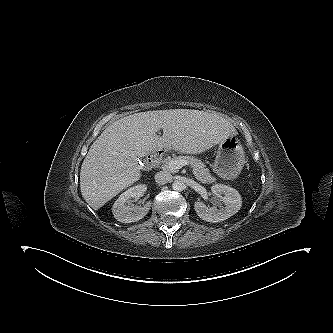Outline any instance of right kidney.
Instances as JSON below:
<instances>
[{"label":"right kidney","mask_w":333,"mask_h":333,"mask_svg":"<svg viewBox=\"0 0 333 333\" xmlns=\"http://www.w3.org/2000/svg\"><path fill=\"white\" fill-rule=\"evenodd\" d=\"M147 190L146 185H136L130 187L128 190L123 192L113 205V215L115 219L122 223H131L139 221L144 218L148 213L151 203H147L144 207L141 206H129L127 203L131 199H138Z\"/></svg>","instance_id":"ca27d5eb"}]
</instances>
